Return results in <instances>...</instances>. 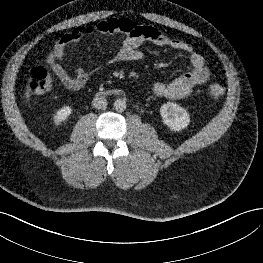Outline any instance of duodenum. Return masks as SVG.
Wrapping results in <instances>:
<instances>
[{
    "instance_id": "410a0bca",
    "label": "duodenum",
    "mask_w": 263,
    "mask_h": 263,
    "mask_svg": "<svg viewBox=\"0 0 263 263\" xmlns=\"http://www.w3.org/2000/svg\"><path fill=\"white\" fill-rule=\"evenodd\" d=\"M108 93H112V94H115V95L121 94V92L119 90H114V91H111V92H108Z\"/></svg>"
}]
</instances>
